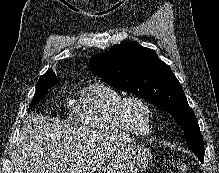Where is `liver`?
<instances>
[{
	"label": "liver",
	"mask_w": 219,
	"mask_h": 173,
	"mask_svg": "<svg viewBox=\"0 0 219 173\" xmlns=\"http://www.w3.org/2000/svg\"><path fill=\"white\" fill-rule=\"evenodd\" d=\"M94 130L41 114L26 115L16 142L14 173H93L122 144Z\"/></svg>",
	"instance_id": "obj_1"
}]
</instances>
